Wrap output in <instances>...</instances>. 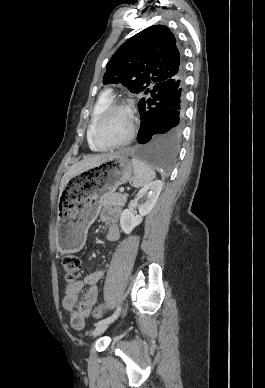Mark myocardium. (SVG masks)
<instances>
[{
    "label": "myocardium",
    "mask_w": 265,
    "mask_h": 388,
    "mask_svg": "<svg viewBox=\"0 0 265 388\" xmlns=\"http://www.w3.org/2000/svg\"><path fill=\"white\" fill-rule=\"evenodd\" d=\"M112 110L123 111L129 116V121H130L129 130L120 141L113 143V144H106V143L101 142L100 139L98 138V127H99L102 119L106 116V114ZM135 129H136V126H135V122H134L130 108L124 104L110 103L102 109V111L99 113V115L95 119V121L93 123V127H92V139H93L94 144L100 148H109V149L120 148V147L125 146L128 142H130V140L133 138V136L135 134Z\"/></svg>",
    "instance_id": "1"
}]
</instances>
